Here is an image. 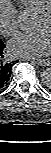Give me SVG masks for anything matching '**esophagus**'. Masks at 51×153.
Listing matches in <instances>:
<instances>
[{"instance_id":"esophagus-1","label":"esophagus","mask_w":51,"mask_h":153,"mask_svg":"<svg viewBox=\"0 0 51 153\" xmlns=\"http://www.w3.org/2000/svg\"><path fill=\"white\" fill-rule=\"evenodd\" d=\"M37 64L40 66H49L51 64L50 59H39L37 60Z\"/></svg>"}]
</instances>
